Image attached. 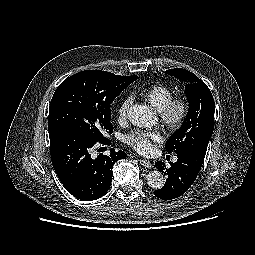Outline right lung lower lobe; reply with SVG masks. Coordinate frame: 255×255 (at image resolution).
<instances>
[{
    "label": "right lung lower lobe",
    "mask_w": 255,
    "mask_h": 255,
    "mask_svg": "<svg viewBox=\"0 0 255 255\" xmlns=\"http://www.w3.org/2000/svg\"><path fill=\"white\" fill-rule=\"evenodd\" d=\"M50 154L55 172L63 186L76 198L96 200L108 191L112 180V167L126 153L111 149L109 156L99 155L92 159L89 153L97 142L110 144L108 139L90 140L87 137L57 127L49 131Z\"/></svg>",
    "instance_id": "right-lung-lower-lobe-1"
}]
</instances>
